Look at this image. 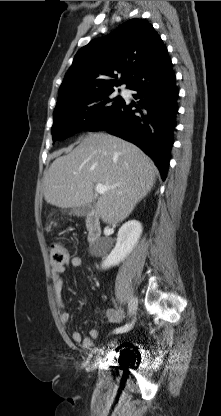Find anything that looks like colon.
Returning a JSON list of instances; mask_svg holds the SVG:
<instances>
[{"label": "colon", "instance_id": "colon-1", "mask_svg": "<svg viewBox=\"0 0 221 416\" xmlns=\"http://www.w3.org/2000/svg\"><path fill=\"white\" fill-rule=\"evenodd\" d=\"M50 261L53 265H62L69 258V252L61 242H53L49 248Z\"/></svg>", "mask_w": 221, "mask_h": 416}]
</instances>
